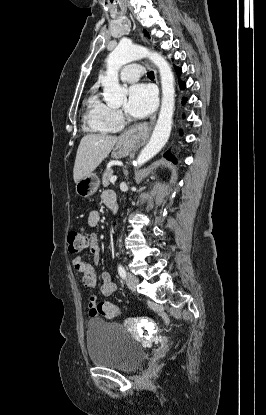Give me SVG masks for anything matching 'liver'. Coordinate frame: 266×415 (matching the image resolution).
Returning a JSON list of instances; mask_svg holds the SVG:
<instances>
[{"mask_svg":"<svg viewBox=\"0 0 266 415\" xmlns=\"http://www.w3.org/2000/svg\"><path fill=\"white\" fill-rule=\"evenodd\" d=\"M118 137L104 134H87L78 146L73 179L77 183L83 177L91 174L108 156Z\"/></svg>","mask_w":266,"mask_h":415,"instance_id":"1","label":"liver"}]
</instances>
